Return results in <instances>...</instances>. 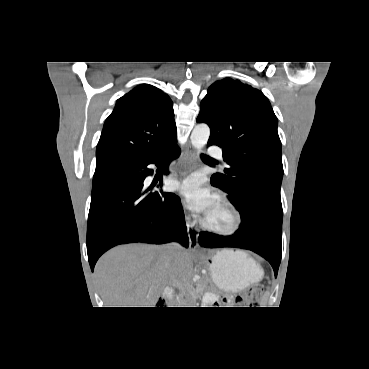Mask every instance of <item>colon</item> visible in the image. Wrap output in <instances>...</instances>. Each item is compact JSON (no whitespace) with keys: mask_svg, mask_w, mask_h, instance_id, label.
Masks as SVG:
<instances>
[{"mask_svg":"<svg viewBox=\"0 0 369 369\" xmlns=\"http://www.w3.org/2000/svg\"><path fill=\"white\" fill-rule=\"evenodd\" d=\"M262 296L263 287L257 284L245 290L242 294L237 296L233 302L228 301L227 304H235L236 306H253L261 300Z\"/></svg>","mask_w":369,"mask_h":369,"instance_id":"5ec220e1","label":"colon"}]
</instances>
